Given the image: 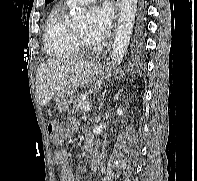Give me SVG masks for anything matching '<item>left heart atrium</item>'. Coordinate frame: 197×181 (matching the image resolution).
Wrapping results in <instances>:
<instances>
[{"label":"left heart atrium","mask_w":197,"mask_h":181,"mask_svg":"<svg viewBox=\"0 0 197 181\" xmlns=\"http://www.w3.org/2000/svg\"><path fill=\"white\" fill-rule=\"evenodd\" d=\"M111 25V11L107 6H93L89 10L87 35L94 42H101L108 35Z\"/></svg>","instance_id":"1"}]
</instances>
